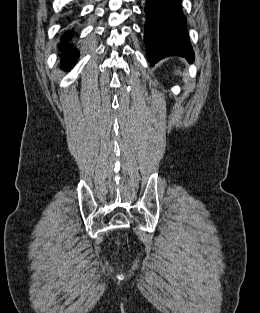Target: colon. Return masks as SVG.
Instances as JSON below:
<instances>
[{
  "mask_svg": "<svg viewBox=\"0 0 260 313\" xmlns=\"http://www.w3.org/2000/svg\"><path fill=\"white\" fill-rule=\"evenodd\" d=\"M118 243H119L118 240H116V241H115V245H118Z\"/></svg>",
  "mask_w": 260,
  "mask_h": 313,
  "instance_id": "5ec220e1",
  "label": "colon"
}]
</instances>
